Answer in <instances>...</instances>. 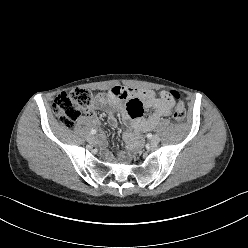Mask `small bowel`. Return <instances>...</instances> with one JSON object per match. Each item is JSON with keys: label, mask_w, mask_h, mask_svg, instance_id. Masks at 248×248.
<instances>
[{"label": "small bowel", "mask_w": 248, "mask_h": 248, "mask_svg": "<svg viewBox=\"0 0 248 248\" xmlns=\"http://www.w3.org/2000/svg\"><path fill=\"white\" fill-rule=\"evenodd\" d=\"M94 107L106 108L109 112V122L113 126L117 125L114 110H119L124 119L137 131H148L154 128L161 118L168 117L172 111L171 102L164 97L162 92L120 86L112 88L107 94L97 95ZM144 109L154 112L144 118ZM128 137L132 136L128 135ZM100 144L104 146L105 140L101 139Z\"/></svg>", "instance_id": "small-bowel-1"}]
</instances>
